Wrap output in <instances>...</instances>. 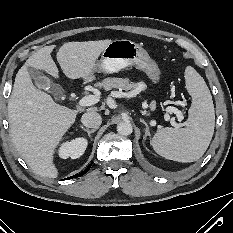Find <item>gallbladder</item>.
Here are the masks:
<instances>
[{"label":"gallbladder","instance_id":"bac80fb5","mask_svg":"<svg viewBox=\"0 0 233 233\" xmlns=\"http://www.w3.org/2000/svg\"><path fill=\"white\" fill-rule=\"evenodd\" d=\"M28 73L30 77L34 80L35 84L41 88L48 90L50 93H52L55 96V99H60L64 93L63 88L53 83L48 77H46L42 72L28 67Z\"/></svg>","mask_w":233,"mask_h":233}]
</instances>
